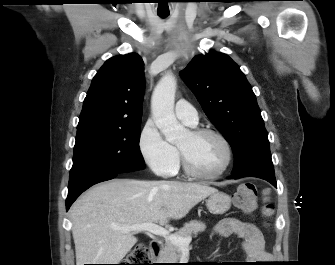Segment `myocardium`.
Masks as SVG:
<instances>
[{
    "instance_id": "1",
    "label": "myocardium",
    "mask_w": 335,
    "mask_h": 265,
    "mask_svg": "<svg viewBox=\"0 0 335 265\" xmlns=\"http://www.w3.org/2000/svg\"><path fill=\"white\" fill-rule=\"evenodd\" d=\"M191 134V136L195 137V138H200L203 136H214L217 139H219L221 141V143L223 144L224 148H225V152H226V157H225V161L223 163V165L221 166V168L211 174H204L201 173L199 171H197L196 169H194L187 156L185 155L184 151L178 147L179 150V154H180V158H181V163H182V167L183 170L185 171V173L187 175H189L192 178L195 179H199V180H215L220 178L230 167L232 160H233V149L231 146V143L229 142V140L219 131L213 130V129H209V128H199V129H193L189 132Z\"/></svg>"
}]
</instances>
